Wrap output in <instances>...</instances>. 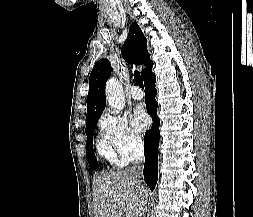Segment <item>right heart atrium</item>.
Masks as SVG:
<instances>
[{"instance_id":"obj_1","label":"right heart atrium","mask_w":253,"mask_h":217,"mask_svg":"<svg viewBox=\"0 0 253 217\" xmlns=\"http://www.w3.org/2000/svg\"><path fill=\"white\" fill-rule=\"evenodd\" d=\"M99 128L124 163L142 148L141 135L130 126L125 116L105 112L99 120Z\"/></svg>"}]
</instances>
